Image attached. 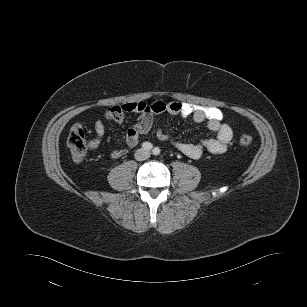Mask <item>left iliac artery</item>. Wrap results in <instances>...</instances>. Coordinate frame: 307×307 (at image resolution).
Wrapping results in <instances>:
<instances>
[{
    "instance_id": "1",
    "label": "left iliac artery",
    "mask_w": 307,
    "mask_h": 307,
    "mask_svg": "<svg viewBox=\"0 0 307 307\" xmlns=\"http://www.w3.org/2000/svg\"><path fill=\"white\" fill-rule=\"evenodd\" d=\"M153 154L154 155H159L160 154V149L158 147H155L153 150H152Z\"/></svg>"
}]
</instances>
